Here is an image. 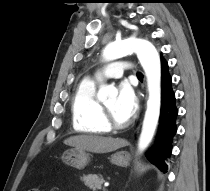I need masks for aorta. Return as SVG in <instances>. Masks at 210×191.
I'll return each mask as SVG.
<instances>
[{"instance_id":"762f6f07","label":"aorta","mask_w":210,"mask_h":191,"mask_svg":"<svg viewBox=\"0 0 210 191\" xmlns=\"http://www.w3.org/2000/svg\"><path fill=\"white\" fill-rule=\"evenodd\" d=\"M136 53L145 71L149 98L145 112L142 131L138 142V150L143 152L150 144L160 116L161 107V64L156 48L147 40L126 38L109 43L103 50V59L112 61L131 53ZM118 90L113 85H102L97 97L105 101L108 96H116Z\"/></svg>"}]
</instances>
